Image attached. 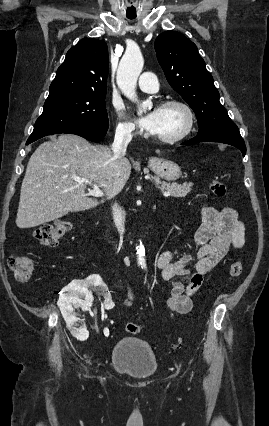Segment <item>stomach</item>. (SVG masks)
Instances as JSON below:
<instances>
[{"instance_id":"1","label":"stomach","mask_w":269,"mask_h":426,"mask_svg":"<svg viewBox=\"0 0 269 426\" xmlns=\"http://www.w3.org/2000/svg\"><path fill=\"white\" fill-rule=\"evenodd\" d=\"M149 168L158 176L167 181H175L182 175L180 166L170 160L153 158L149 160Z\"/></svg>"}]
</instances>
